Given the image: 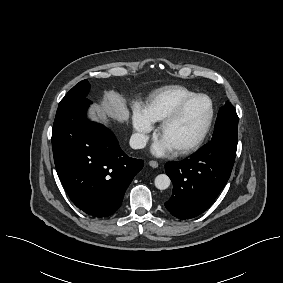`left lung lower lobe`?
Segmentation results:
<instances>
[{
	"mask_svg": "<svg viewBox=\"0 0 283 283\" xmlns=\"http://www.w3.org/2000/svg\"><path fill=\"white\" fill-rule=\"evenodd\" d=\"M235 157L236 149L210 142L190 159L166 164V174L173 183V194L165 202L167 210L180 219L203 213L226 185Z\"/></svg>",
	"mask_w": 283,
	"mask_h": 283,
	"instance_id": "1",
	"label": "left lung lower lobe"
}]
</instances>
